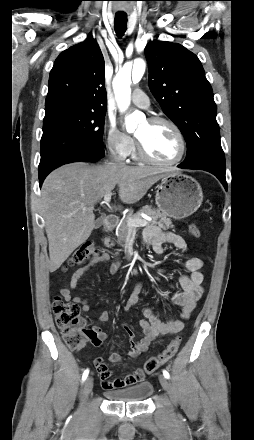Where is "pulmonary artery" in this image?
I'll return each instance as SVG.
<instances>
[{"mask_svg":"<svg viewBox=\"0 0 254 440\" xmlns=\"http://www.w3.org/2000/svg\"><path fill=\"white\" fill-rule=\"evenodd\" d=\"M132 102L141 108L149 107V99L141 89H135L132 94Z\"/></svg>","mask_w":254,"mask_h":440,"instance_id":"e3ab8cb5","label":"pulmonary artery"}]
</instances>
